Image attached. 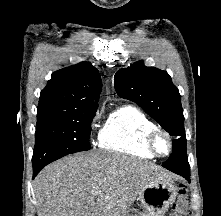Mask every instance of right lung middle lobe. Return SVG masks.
<instances>
[{
  "label": "right lung middle lobe",
  "instance_id": "1",
  "mask_svg": "<svg viewBox=\"0 0 221 216\" xmlns=\"http://www.w3.org/2000/svg\"><path fill=\"white\" fill-rule=\"evenodd\" d=\"M95 110L37 123L33 166L47 165L71 153L90 149L89 135Z\"/></svg>",
  "mask_w": 221,
  "mask_h": 216
}]
</instances>
